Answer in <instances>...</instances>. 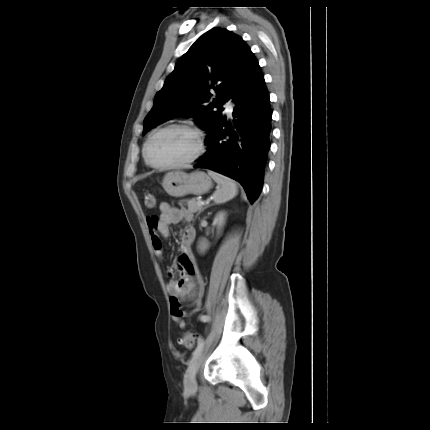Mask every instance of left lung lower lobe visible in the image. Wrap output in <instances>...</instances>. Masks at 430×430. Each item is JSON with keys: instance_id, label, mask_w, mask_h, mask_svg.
Masks as SVG:
<instances>
[{"instance_id": "left-lung-lower-lobe-1", "label": "left lung lower lobe", "mask_w": 430, "mask_h": 430, "mask_svg": "<svg viewBox=\"0 0 430 430\" xmlns=\"http://www.w3.org/2000/svg\"><path fill=\"white\" fill-rule=\"evenodd\" d=\"M234 119L218 117L209 127L208 151L194 167H204L238 181L251 203L263 184L270 148L272 110L261 68L232 98Z\"/></svg>"}]
</instances>
